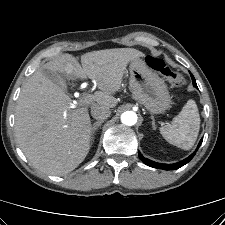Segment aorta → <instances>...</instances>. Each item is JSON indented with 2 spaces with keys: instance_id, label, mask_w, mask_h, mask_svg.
Returning <instances> with one entry per match:
<instances>
[{
  "instance_id": "762f6f07",
  "label": "aorta",
  "mask_w": 225,
  "mask_h": 225,
  "mask_svg": "<svg viewBox=\"0 0 225 225\" xmlns=\"http://www.w3.org/2000/svg\"><path fill=\"white\" fill-rule=\"evenodd\" d=\"M137 114L133 111H125L121 114V122L126 126H133L137 122Z\"/></svg>"
}]
</instances>
